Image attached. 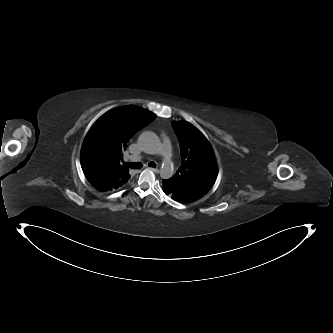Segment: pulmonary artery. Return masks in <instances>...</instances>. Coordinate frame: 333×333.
<instances>
[{
    "mask_svg": "<svg viewBox=\"0 0 333 333\" xmlns=\"http://www.w3.org/2000/svg\"><path fill=\"white\" fill-rule=\"evenodd\" d=\"M159 153L165 158L169 159L171 157V144L166 135H162V144L159 148ZM143 157H134L132 160H141Z\"/></svg>",
    "mask_w": 333,
    "mask_h": 333,
    "instance_id": "pulmonary-artery-1",
    "label": "pulmonary artery"
}]
</instances>
